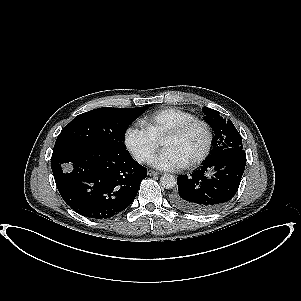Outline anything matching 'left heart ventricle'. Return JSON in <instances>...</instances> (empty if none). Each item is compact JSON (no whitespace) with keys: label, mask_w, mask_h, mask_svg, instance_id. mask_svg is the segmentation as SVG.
I'll use <instances>...</instances> for the list:
<instances>
[{"label":"left heart ventricle","mask_w":301,"mask_h":301,"mask_svg":"<svg viewBox=\"0 0 301 301\" xmlns=\"http://www.w3.org/2000/svg\"><path fill=\"white\" fill-rule=\"evenodd\" d=\"M204 143L203 128L200 125H193L182 134L166 139L163 146L188 162L202 150Z\"/></svg>","instance_id":"obj_1"}]
</instances>
